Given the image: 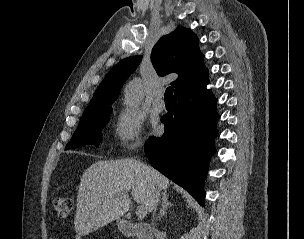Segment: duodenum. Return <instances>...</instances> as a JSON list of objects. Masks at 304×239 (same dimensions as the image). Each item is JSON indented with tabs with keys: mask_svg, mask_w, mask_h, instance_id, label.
<instances>
[{
	"mask_svg": "<svg viewBox=\"0 0 304 239\" xmlns=\"http://www.w3.org/2000/svg\"><path fill=\"white\" fill-rule=\"evenodd\" d=\"M120 230L127 237H133L136 239H152V228L147 223L121 221Z\"/></svg>",
	"mask_w": 304,
	"mask_h": 239,
	"instance_id": "obj_1",
	"label": "duodenum"
}]
</instances>
